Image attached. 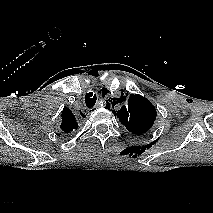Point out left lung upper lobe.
<instances>
[{"label":"left lung upper lobe","instance_id":"1","mask_svg":"<svg viewBox=\"0 0 213 213\" xmlns=\"http://www.w3.org/2000/svg\"><path fill=\"white\" fill-rule=\"evenodd\" d=\"M116 100H113L114 103L124 105L120 110L112 112L129 132L141 135L153 126L157 112L148 99L138 94L124 96L122 93L121 97Z\"/></svg>","mask_w":213,"mask_h":213}]
</instances>
